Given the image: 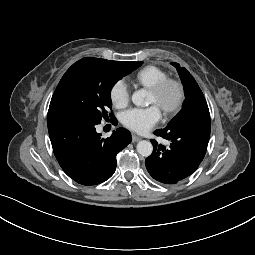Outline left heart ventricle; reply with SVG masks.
I'll return each instance as SVG.
<instances>
[{"instance_id": "1", "label": "left heart ventricle", "mask_w": 255, "mask_h": 255, "mask_svg": "<svg viewBox=\"0 0 255 255\" xmlns=\"http://www.w3.org/2000/svg\"><path fill=\"white\" fill-rule=\"evenodd\" d=\"M176 97V91L174 88H169L163 95L156 96L152 92L149 93V103L157 104L160 108L173 103Z\"/></svg>"}]
</instances>
